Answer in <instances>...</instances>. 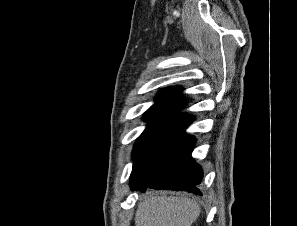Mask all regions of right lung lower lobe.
<instances>
[{
    "instance_id": "1",
    "label": "right lung lower lobe",
    "mask_w": 297,
    "mask_h": 226,
    "mask_svg": "<svg viewBox=\"0 0 297 226\" xmlns=\"http://www.w3.org/2000/svg\"><path fill=\"white\" fill-rule=\"evenodd\" d=\"M193 121L194 117L188 114L167 121L132 170L131 190L144 192L153 188L202 195L197 185L201 183L203 172L191 157L196 139L185 133Z\"/></svg>"
}]
</instances>
